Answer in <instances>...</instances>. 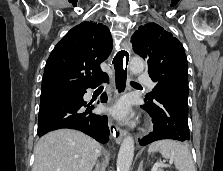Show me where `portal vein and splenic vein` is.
I'll return each mask as SVG.
<instances>
[{"label": "portal vein and splenic vein", "instance_id": "1", "mask_svg": "<svg viewBox=\"0 0 223 171\" xmlns=\"http://www.w3.org/2000/svg\"><path fill=\"white\" fill-rule=\"evenodd\" d=\"M170 166H171V163L163 164V163L157 162V163L154 164V166H153L151 171H158L159 167H170Z\"/></svg>", "mask_w": 223, "mask_h": 171}]
</instances>
